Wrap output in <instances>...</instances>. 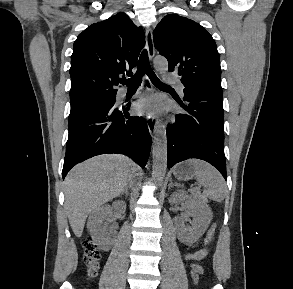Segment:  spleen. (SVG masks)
Returning a JSON list of instances; mask_svg holds the SVG:
<instances>
[{
  "label": "spleen",
  "instance_id": "spleen-1",
  "mask_svg": "<svg viewBox=\"0 0 293 289\" xmlns=\"http://www.w3.org/2000/svg\"><path fill=\"white\" fill-rule=\"evenodd\" d=\"M190 162L194 168L197 182L205 187L204 195L214 201L220 202L224 200L227 188L221 174L203 160L193 159Z\"/></svg>",
  "mask_w": 293,
  "mask_h": 289
}]
</instances>
